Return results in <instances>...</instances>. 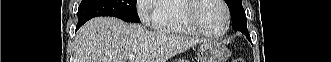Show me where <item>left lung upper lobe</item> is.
<instances>
[{"label": "left lung upper lobe", "instance_id": "obj_1", "mask_svg": "<svg viewBox=\"0 0 331 62\" xmlns=\"http://www.w3.org/2000/svg\"><path fill=\"white\" fill-rule=\"evenodd\" d=\"M231 12L232 22L240 25L247 32L246 15L241 0H225Z\"/></svg>", "mask_w": 331, "mask_h": 62}]
</instances>
